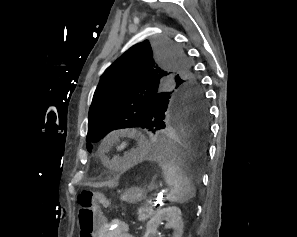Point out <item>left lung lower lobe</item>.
Returning a JSON list of instances; mask_svg holds the SVG:
<instances>
[{
    "mask_svg": "<svg viewBox=\"0 0 297 237\" xmlns=\"http://www.w3.org/2000/svg\"><path fill=\"white\" fill-rule=\"evenodd\" d=\"M163 120L145 146L146 155L165 157L192 168L199 166L210 136L207 105L178 100Z\"/></svg>",
    "mask_w": 297,
    "mask_h": 237,
    "instance_id": "1",
    "label": "left lung lower lobe"
}]
</instances>
